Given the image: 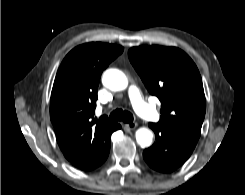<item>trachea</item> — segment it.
Masks as SVG:
<instances>
[{"instance_id":"1","label":"trachea","mask_w":245,"mask_h":195,"mask_svg":"<svg viewBox=\"0 0 245 195\" xmlns=\"http://www.w3.org/2000/svg\"><path fill=\"white\" fill-rule=\"evenodd\" d=\"M110 119L114 121H123L125 123L133 122V115L128 111H123L122 109H116L110 114Z\"/></svg>"}]
</instances>
